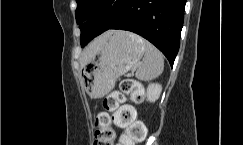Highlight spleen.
Returning <instances> with one entry per match:
<instances>
[{
    "label": "spleen",
    "mask_w": 243,
    "mask_h": 145,
    "mask_svg": "<svg viewBox=\"0 0 243 145\" xmlns=\"http://www.w3.org/2000/svg\"><path fill=\"white\" fill-rule=\"evenodd\" d=\"M140 41L144 44V57L138 64L135 77L141 81H150L161 75L164 69V59L160 51L151 43L143 40Z\"/></svg>",
    "instance_id": "1"
}]
</instances>
